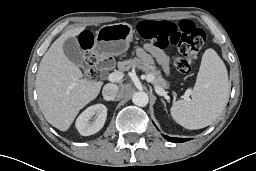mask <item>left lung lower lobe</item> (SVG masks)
I'll use <instances>...</instances> for the list:
<instances>
[{"mask_svg":"<svg viewBox=\"0 0 256 171\" xmlns=\"http://www.w3.org/2000/svg\"><path fill=\"white\" fill-rule=\"evenodd\" d=\"M165 139H167L168 141H171V142H176V143H179V142H185V141H188L190 140L189 138H172V137H169V136H165Z\"/></svg>","mask_w":256,"mask_h":171,"instance_id":"0a47b994","label":"left lung lower lobe"}]
</instances>
